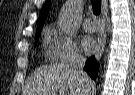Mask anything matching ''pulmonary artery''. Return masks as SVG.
<instances>
[{
	"label": "pulmonary artery",
	"mask_w": 135,
	"mask_h": 95,
	"mask_svg": "<svg viewBox=\"0 0 135 95\" xmlns=\"http://www.w3.org/2000/svg\"><path fill=\"white\" fill-rule=\"evenodd\" d=\"M83 28L87 32H94L96 30V25L91 17H86L83 22Z\"/></svg>",
	"instance_id": "1"
}]
</instances>
